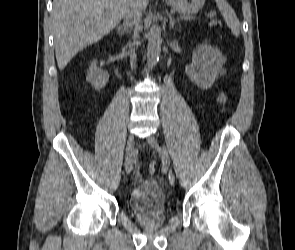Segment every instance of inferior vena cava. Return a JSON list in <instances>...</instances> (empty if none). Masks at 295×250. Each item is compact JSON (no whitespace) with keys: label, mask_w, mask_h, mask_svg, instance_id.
I'll use <instances>...</instances> for the list:
<instances>
[{"label":"inferior vena cava","mask_w":295,"mask_h":250,"mask_svg":"<svg viewBox=\"0 0 295 250\" xmlns=\"http://www.w3.org/2000/svg\"><path fill=\"white\" fill-rule=\"evenodd\" d=\"M124 19L126 27H134V39L138 37L139 31H141V17L142 11L139 6V0H128L127 7L124 11ZM136 55L131 49L130 63L133 68L135 65Z\"/></svg>","instance_id":"1"}]
</instances>
